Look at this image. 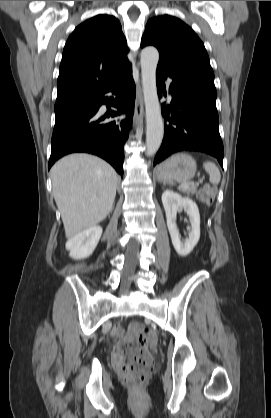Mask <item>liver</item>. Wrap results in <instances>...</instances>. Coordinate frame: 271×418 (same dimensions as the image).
<instances>
[{
	"instance_id": "1",
	"label": "liver",
	"mask_w": 271,
	"mask_h": 418,
	"mask_svg": "<svg viewBox=\"0 0 271 418\" xmlns=\"http://www.w3.org/2000/svg\"><path fill=\"white\" fill-rule=\"evenodd\" d=\"M51 178L66 238L97 225L112 210L118 175L104 160L89 154L66 156L54 164Z\"/></svg>"
}]
</instances>
